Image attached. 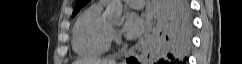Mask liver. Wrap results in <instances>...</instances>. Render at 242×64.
I'll use <instances>...</instances> for the list:
<instances>
[{
  "label": "liver",
  "mask_w": 242,
  "mask_h": 64,
  "mask_svg": "<svg viewBox=\"0 0 242 64\" xmlns=\"http://www.w3.org/2000/svg\"><path fill=\"white\" fill-rule=\"evenodd\" d=\"M73 64H116V61L111 59H82Z\"/></svg>",
  "instance_id": "1"
}]
</instances>
